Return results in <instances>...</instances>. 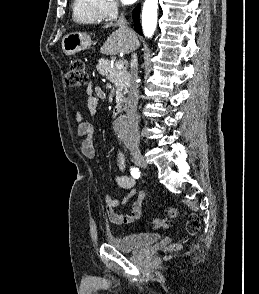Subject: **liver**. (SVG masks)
I'll list each match as a JSON object with an SVG mask.
<instances>
[{
    "label": "liver",
    "mask_w": 259,
    "mask_h": 294,
    "mask_svg": "<svg viewBox=\"0 0 259 294\" xmlns=\"http://www.w3.org/2000/svg\"><path fill=\"white\" fill-rule=\"evenodd\" d=\"M116 26L110 23L105 28ZM139 47V41L134 32H127L120 27L114 31L105 41L101 48V52L109 55H116L118 53L128 54Z\"/></svg>",
    "instance_id": "1"
}]
</instances>
